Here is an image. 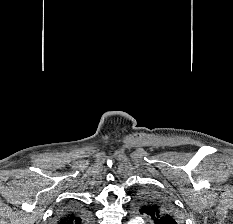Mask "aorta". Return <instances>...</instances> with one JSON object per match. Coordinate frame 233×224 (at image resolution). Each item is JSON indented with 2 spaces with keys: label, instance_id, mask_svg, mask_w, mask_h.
<instances>
[{
  "label": "aorta",
  "instance_id": "762f6f07",
  "mask_svg": "<svg viewBox=\"0 0 233 224\" xmlns=\"http://www.w3.org/2000/svg\"><path fill=\"white\" fill-rule=\"evenodd\" d=\"M127 224H144V221L140 217L132 218Z\"/></svg>",
  "mask_w": 233,
  "mask_h": 224
}]
</instances>
